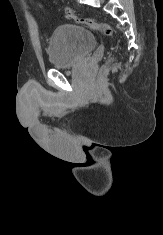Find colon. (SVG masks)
<instances>
[{
    "instance_id": "obj_1",
    "label": "colon",
    "mask_w": 163,
    "mask_h": 235,
    "mask_svg": "<svg viewBox=\"0 0 163 235\" xmlns=\"http://www.w3.org/2000/svg\"><path fill=\"white\" fill-rule=\"evenodd\" d=\"M65 16L70 19L73 20L77 23L80 24H85L88 25L94 29L100 30L101 32H103L105 35H112V28L109 24L104 23V22H98L92 18L89 17H85L83 15H80L72 10L66 9L65 10Z\"/></svg>"
}]
</instances>
